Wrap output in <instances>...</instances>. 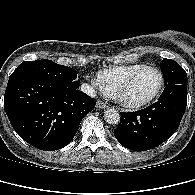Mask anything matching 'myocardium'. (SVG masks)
<instances>
[{"instance_id": "1", "label": "myocardium", "mask_w": 195, "mask_h": 195, "mask_svg": "<svg viewBox=\"0 0 195 195\" xmlns=\"http://www.w3.org/2000/svg\"><path fill=\"white\" fill-rule=\"evenodd\" d=\"M144 70H153L159 75L160 82H159V86H158L157 90L155 91V93L153 95H151L150 97H148L144 100H141V101H129V100L125 99V93L128 90L131 82L140 72H142ZM163 87H164V75H163L162 71L159 68L152 66V65H143L140 68H138L137 70H135L134 72H132L126 78V80L120 86L119 91L114 98L118 103H120L122 106H124L128 109H133V110L139 109V108L145 107V106L149 105L150 103H152L161 94Z\"/></svg>"}]
</instances>
